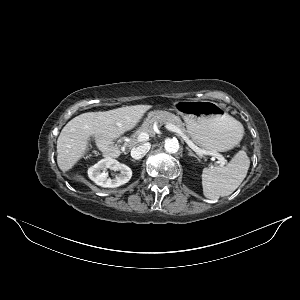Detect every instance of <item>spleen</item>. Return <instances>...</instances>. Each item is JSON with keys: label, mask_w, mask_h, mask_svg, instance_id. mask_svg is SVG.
<instances>
[{"label": "spleen", "mask_w": 300, "mask_h": 300, "mask_svg": "<svg viewBox=\"0 0 300 300\" xmlns=\"http://www.w3.org/2000/svg\"><path fill=\"white\" fill-rule=\"evenodd\" d=\"M243 133V126L235 120ZM250 159L245 149L240 150L226 166L204 168L202 172L203 194L208 199H219L232 194L245 179Z\"/></svg>", "instance_id": "obj_1"}]
</instances>
